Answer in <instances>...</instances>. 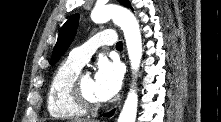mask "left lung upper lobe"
Instances as JSON below:
<instances>
[{"mask_svg":"<svg viewBox=\"0 0 221 122\" xmlns=\"http://www.w3.org/2000/svg\"><path fill=\"white\" fill-rule=\"evenodd\" d=\"M122 5L130 8L129 0H118ZM79 14H75L71 16L65 24L62 26L57 43L54 47L53 54L51 57L50 64L55 65L60 57L65 53L69 45L74 39L76 34V29L78 27Z\"/></svg>","mask_w":221,"mask_h":122,"instance_id":"obj_1","label":"left lung upper lobe"}]
</instances>
